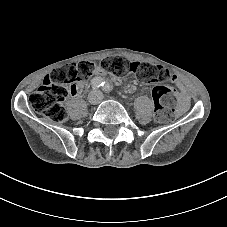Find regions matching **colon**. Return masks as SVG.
<instances>
[{
    "label": "colon",
    "mask_w": 227,
    "mask_h": 227,
    "mask_svg": "<svg viewBox=\"0 0 227 227\" xmlns=\"http://www.w3.org/2000/svg\"><path fill=\"white\" fill-rule=\"evenodd\" d=\"M100 68L114 76L128 73L136 74L144 82H164L172 80L173 74L161 65L129 62L123 57H108L101 61ZM95 70L88 61L67 64L45 77L42 85L29 97L33 110L50 118L54 122L65 121L67 114L64 100L69 93L77 91L80 83L87 80ZM155 110L154 119L158 123L172 120L176 104V91L165 85L155 86L152 90Z\"/></svg>",
    "instance_id": "1"
}]
</instances>
